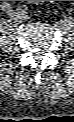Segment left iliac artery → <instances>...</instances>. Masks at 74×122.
<instances>
[{
  "label": "left iliac artery",
  "mask_w": 74,
  "mask_h": 122,
  "mask_svg": "<svg viewBox=\"0 0 74 122\" xmlns=\"http://www.w3.org/2000/svg\"><path fill=\"white\" fill-rule=\"evenodd\" d=\"M19 10L22 13H26V14L28 13V7L27 6H21Z\"/></svg>",
  "instance_id": "obj_1"
}]
</instances>
